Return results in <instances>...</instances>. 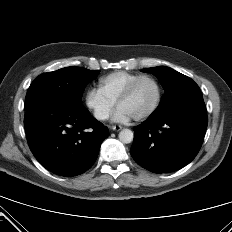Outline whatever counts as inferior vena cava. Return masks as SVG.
Instances as JSON below:
<instances>
[{
  "label": "inferior vena cava",
  "mask_w": 232,
  "mask_h": 232,
  "mask_svg": "<svg viewBox=\"0 0 232 232\" xmlns=\"http://www.w3.org/2000/svg\"><path fill=\"white\" fill-rule=\"evenodd\" d=\"M108 116H109V115H108V113H106V112H100V111L95 112V117H96L97 119H99V120L107 119Z\"/></svg>",
  "instance_id": "inferior-vena-cava-1"
}]
</instances>
